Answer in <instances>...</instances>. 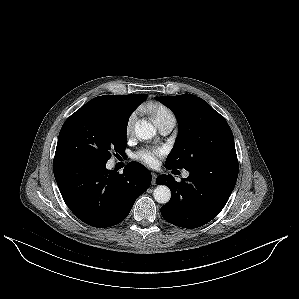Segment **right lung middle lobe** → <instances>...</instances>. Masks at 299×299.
I'll use <instances>...</instances> for the list:
<instances>
[{
  "instance_id": "dd1d6c3e",
  "label": "right lung middle lobe",
  "mask_w": 299,
  "mask_h": 299,
  "mask_svg": "<svg viewBox=\"0 0 299 299\" xmlns=\"http://www.w3.org/2000/svg\"><path fill=\"white\" fill-rule=\"evenodd\" d=\"M131 112L107 104H85L63 124L55 154L66 153L107 162L112 152L124 154Z\"/></svg>"
}]
</instances>
